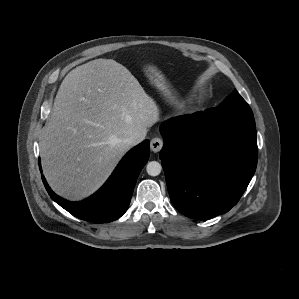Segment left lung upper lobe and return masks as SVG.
Returning a JSON list of instances; mask_svg holds the SVG:
<instances>
[{
  "label": "left lung upper lobe",
  "instance_id": "obj_1",
  "mask_svg": "<svg viewBox=\"0 0 299 299\" xmlns=\"http://www.w3.org/2000/svg\"><path fill=\"white\" fill-rule=\"evenodd\" d=\"M207 113L220 119L254 117L251 108L236 90L218 107L207 109Z\"/></svg>",
  "mask_w": 299,
  "mask_h": 299
}]
</instances>
